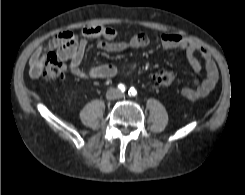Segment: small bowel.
<instances>
[{
	"label": "small bowel",
	"mask_w": 245,
	"mask_h": 195,
	"mask_svg": "<svg viewBox=\"0 0 245 195\" xmlns=\"http://www.w3.org/2000/svg\"><path fill=\"white\" fill-rule=\"evenodd\" d=\"M88 38H101L98 47L107 52H120L128 48H144L149 44L145 33H137L127 41H116L117 31L107 26H87L82 29V37L67 31L55 36L47 47H39L30 59V76L38 78L41 74L45 56L56 51L62 60L70 61L71 72L83 79L110 78L118 73V67L113 64L95 66L89 69L82 67V59L87 48ZM164 49H180L185 52L191 69L194 72L201 70V63L196 57L199 54L205 64L206 75L201 81H194L192 87H185L181 95L188 101H194L207 96L215 87L218 80V68L210 52L199 43L179 34L165 33L161 36ZM132 64L128 72L133 71Z\"/></svg>",
	"instance_id": "small-bowel-1"
}]
</instances>
